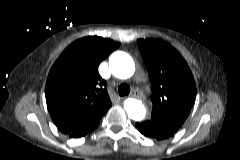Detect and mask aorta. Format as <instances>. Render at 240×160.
<instances>
[{
  "label": "aorta",
  "instance_id": "1",
  "mask_svg": "<svg viewBox=\"0 0 240 160\" xmlns=\"http://www.w3.org/2000/svg\"><path fill=\"white\" fill-rule=\"evenodd\" d=\"M109 68L115 77L119 79H128L134 74L135 64L129 54L117 51L109 58ZM124 109L130 119L140 121L145 118V106L137 99H126L124 101Z\"/></svg>",
  "mask_w": 240,
  "mask_h": 160
}]
</instances>
